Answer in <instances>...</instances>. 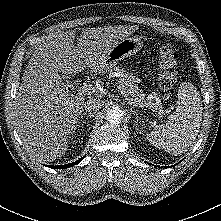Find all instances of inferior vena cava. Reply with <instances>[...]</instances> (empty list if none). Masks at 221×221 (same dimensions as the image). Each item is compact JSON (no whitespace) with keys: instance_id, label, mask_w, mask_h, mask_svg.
Here are the masks:
<instances>
[{"instance_id":"obj_1","label":"inferior vena cava","mask_w":221,"mask_h":221,"mask_svg":"<svg viewBox=\"0 0 221 221\" xmlns=\"http://www.w3.org/2000/svg\"><path fill=\"white\" fill-rule=\"evenodd\" d=\"M104 105V102L100 99H89L85 102L84 108L86 111H96Z\"/></svg>"}]
</instances>
